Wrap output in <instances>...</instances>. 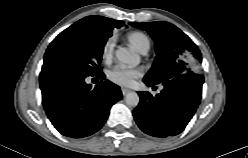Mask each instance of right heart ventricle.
Instances as JSON below:
<instances>
[{"label":"right heart ventricle","mask_w":248,"mask_h":158,"mask_svg":"<svg viewBox=\"0 0 248 158\" xmlns=\"http://www.w3.org/2000/svg\"><path fill=\"white\" fill-rule=\"evenodd\" d=\"M128 40L131 43V45L138 50L139 52H142L144 49L150 47V42L148 37L138 31H134L128 34Z\"/></svg>","instance_id":"right-heart-ventricle-1"}]
</instances>
